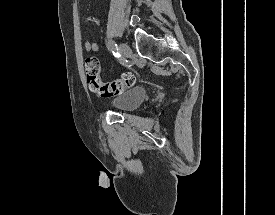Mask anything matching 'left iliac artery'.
<instances>
[{
  "instance_id": "44dca946",
  "label": "left iliac artery",
  "mask_w": 275,
  "mask_h": 215,
  "mask_svg": "<svg viewBox=\"0 0 275 215\" xmlns=\"http://www.w3.org/2000/svg\"><path fill=\"white\" fill-rule=\"evenodd\" d=\"M108 46L112 50L114 56H118L119 55L118 46H117V44L115 42L109 41L108 42Z\"/></svg>"
}]
</instances>
